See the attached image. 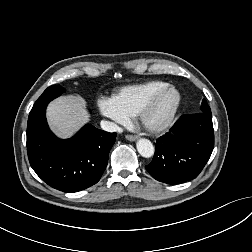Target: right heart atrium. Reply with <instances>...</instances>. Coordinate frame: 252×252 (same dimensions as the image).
Instances as JSON below:
<instances>
[{
	"instance_id": "1",
	"label": "right heart atrium",
	"mask_w": 252,
	"mask_h": 252,
	"mask_svg": "<svg viewBox=\"0 0 252 252\" xmlns=\"http://www.w3.org/2000/svg\"><path fill=\"white\" fill-rule=\"evenodd\" d=\"M98 106L100 112L104 116L112 119L114 123L118 125H127L130 122V117L118 108L112 99L102 98L98 101Z\"/></svg>"
}]
</instances>
